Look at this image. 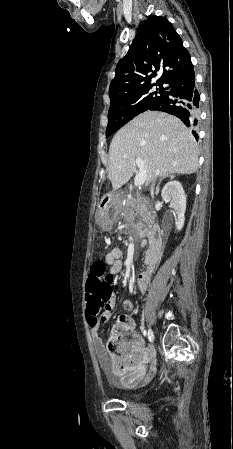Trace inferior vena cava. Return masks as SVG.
I'll list each match as a JSON object with an SVG mask.
<instances>
[{"label": "inferior vena cava", "mask_w": 233, "mask_h": 449, "mask_svg": "<svg viewBox=\"0 0 233 449\" xmlns=\"http://www.w3.org/2000/svg\"><path fill=\"white\" fill-rule=\"evenodd\" d=\"M153 186H154V185L151 186V195H152V197L154 196Z\"/></svg>", "instance_id": "602c4592"}]
</instances>
